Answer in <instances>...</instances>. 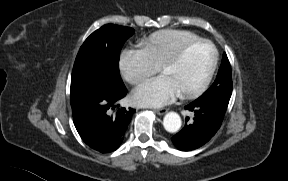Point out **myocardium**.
Masks as SVG:
<instances>
[{"label":"myocardium","mask_w":288,"mask_h":181,"mask_svg":"<svg viewBox=\"0 0 288 181\" xmlns=\"http://www.w3.org/2000/svg\"><path fill=\"white\" fill-rule=\"evenodd\" d=\"M199 44H208L213 48L214 61H213V64L211 66V69H210L209 73L207 74V76L205 77V79L198 86L194 87L193 89L179 93V96L181 98H191V97L197 96V95L201 94L209 86V84L212 81V78L216 72V69L218 67V63H219V51H218L217 46L212 41H210L208 39H202V38L197 39L195 41H192V42L182 46L175 54H173L168 59L164 60L160 64V66L158 67V71L161 73L164 69L175 66L184 58V56L192 48H194L195 46H197Z\"/></svg>","instance_id":"obj_1"}]
</instances>
